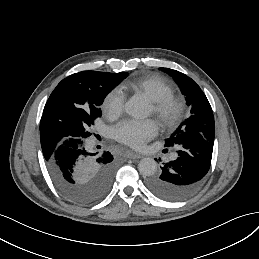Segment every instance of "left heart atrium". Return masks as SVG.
<instances>
[{
    "instance_id": "1",
    "label": "left heart atrium",
    "mask_w": 259,
    "mask_h": 259,
    "mask_svg": "<svg viewBox=\"0 0 259 259\" xmlns=\"http://www.w3.org/2000/svg\"><path fill=\"white\" fill-rule=\"evenodd\" d=\"M159 131L158 123L153 119L147 120H124L113 128L116 140L126 145L142 148L154 138Z\"/></svg>"
}]
</instances>
